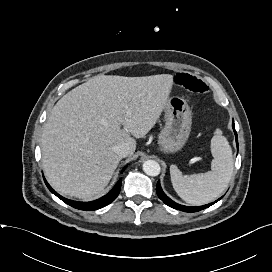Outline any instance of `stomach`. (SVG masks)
<instances>
[{
  "instance_id": "0dacf381",
  "label": "stomach",
  "mask_w": 272,
  "mask_h": 272,
  "mask_svg": "<svg viewBox=\"0 0 272 272\" xmlns=\"http://www.w3.org/2000/svg\"><path fill=\"white\" fill-rule=\"evenodd\" d=\"M165 127L158 136L160 149L165 153L179 151L191 131L192 114L187 102L179 96L169 98L164 109Z\"/></svg>"
}]
</instances>
